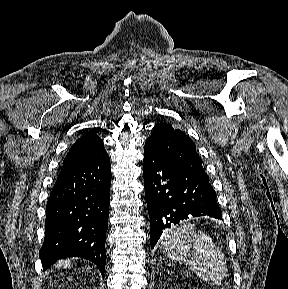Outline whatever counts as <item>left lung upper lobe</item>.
I'll return each instance as SVG.
<instances>
[{"instance_id": "1", "label": "left lung upper lobe", "mask_w": 288, "mask_h": 289, "mask_svg": "<svg viewBox=\"0 0 288 289\" xmlns=\"http://www.w3.org/2000/svg\"><path fill=\"white\" fill-rule=\"evenodd\" d=\"M147 141L170 162L209 180L202 166V160L196 152L195 143L180 129L170 124L159 123L153 128Z\"/></svg>"}]
</instances>
